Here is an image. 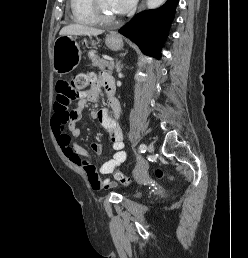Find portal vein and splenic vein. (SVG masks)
Masks as SVG:
<instances>
[{
  "label": "portal vein and splenic vein",
  "mask_w": 248,
  "mask_h": 258,
  "mask_svg": "<svg viewBox=\"0 0 248 258\" xmlns=\"http://www.w3.org/2000/svg\"><path fill=\"white\" fill-rule=\"evenodd\" d=\"M105 59H106V60H109L110 62H113V61H114V59L109 58V57H105Z\"/></svg>",
  "instance_id": "1"
}]
</instances>
